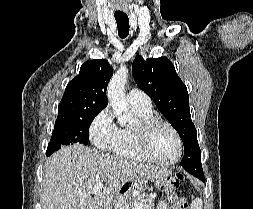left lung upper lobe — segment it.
Listing matches in <instances>:
<instances>
[{"mask_svg":"<svg viewBox=\"0 0 253 209\" xmlns=\"http://www.w3.org/2000/svg\"><path fill=\"white\" fill-rule=\"evenodd\" d=\"M132 71L138 87L154 101L180 135L185 151L181 166L189 173L202 166L187 87L177 75L172 62L167 57L144 60L142 56H137Z\"/></svg>","mask_w":253,"mask_h":209,"instance_id":"5c2ea615","label":"left lung upper lobe"}]
</instances>
